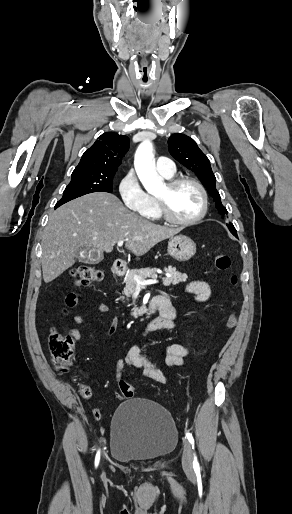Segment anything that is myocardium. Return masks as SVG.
<instances>
[{
	"mask_svg": "<svg viewBox=\"0 0 292 514\" xmlns=\"http://www.w3.org/2000/svg\"><path fill=\"white\" fill-rule=\"evenodd\" d=\"M189 184L194 186L200 195V209L199 212L191 219L189 220H180L171 215L169 212V209L167 207V204L164 199L154 196L157 208L163 217V219L171 224L179 225V226H190L198 221H200L207 210V193L204 187L196 180L188 178V177H179L175 178L173 180L168 181L165 185L168 190H173L179 186Z\"/></svg>",
	"mask_w": 292,
	"mask_h": 514,
	"instance_id": "1",
	"label": "myocardium"
}]
</instances>
